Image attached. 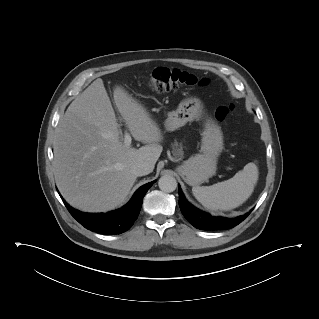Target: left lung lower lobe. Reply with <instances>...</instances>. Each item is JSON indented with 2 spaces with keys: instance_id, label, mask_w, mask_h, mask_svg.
<instances>
[{
  "instance_id": "1",
  "label": "left lung lower lobe",
  "mask_w": 319,
  "mask_h": 319,
  "mask_svg": "<svg viewBox=\"0 0 319 319\" xmlns=\"http://www.w3.org/2000/svg\"><path fill=\"white\" fill-rule=\"evenodd\" d=\"M179 206L184 217L196 228L202 230H223L229 229L234 226H237L241 223L250 212L235 217V218H226V217H213L199 209L195 208L187 202L185 199L180 186H179Z\"/></svg>"
}]
</instances>
